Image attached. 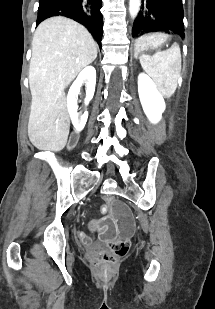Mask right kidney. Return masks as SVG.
<instances>
[{
    "label": "right kidney",
    "mask_w": 215,
    "mask_h": 309,
    "mask_svg": "<svg viewBox=\"0 0 215 309\" xmlns=\"http://www.w3.org/2000/svg\"><path fill=\"white\" fill-rule=\"evenodd\" d=\"M84 80H87L85 104H88L89 100L93 98L96 84V70L94 66H85V68L79 72L76 80H74L72 86L69 88L67 106L76 130H82L88 118L87 110H85L84 114H82L80 118H78L77 112V96L80 94V86H82V82H84Z\"/></svg>",
    "instance_id": "ca27d5eb"
}]
</instances>
